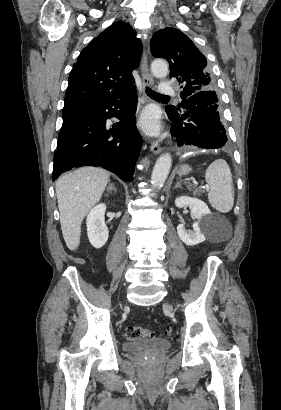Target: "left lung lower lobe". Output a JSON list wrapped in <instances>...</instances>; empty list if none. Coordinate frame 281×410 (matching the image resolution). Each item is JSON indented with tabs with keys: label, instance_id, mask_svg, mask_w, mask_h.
Returning a JSON list of instances; mask_svg holds the SVG:
<instances>
[{
	"label": "left lung lower lobe",
	"instance_id": "left-lung-lower-lobe-1",
	"mask_svg": "<svg viewBox=\"0 0 281 410\" xmlns=\"http://www.w3.org/2000/svg\"><path fill=\"white\" fill-rule=\"evenodd\" d=\"M182 110L167 111L172 121L171 134L178 145L217 149L225 145L227 136L220 120L218 96L215 91L197 92L181 102Z\"/></svg>",
	"mask_w": 281,
	"mask_h": 410
}]
</instances>
